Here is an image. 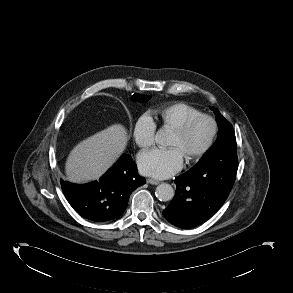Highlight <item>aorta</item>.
Instances as JSON below:
<instances>
[{"instance_id": "762f6f07", "label": "aorta", "mask_w": 293, "mask_h": 293, "mask_svg": "<svg viewBox=\"0 0 293 293\" xmlns=\"http://www.w3.org/2000/svg\"><path fill=\"white\" fill-rule=\"evenodd\" d=\"M169 132L165 129L157 131L155 140L159 145H166L169 141ZM155 195L160 201H170L174 196V189L170 184L162 183L156 187Z\"/></svg>"}]
</instances>
